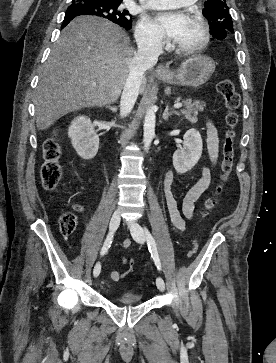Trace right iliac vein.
<instances>
[{"label":"right iliac vein","instance_id":"obj_1","mask_svg":"<svg viewBox=\"0 0 276 363\" xmlns=\"http://www.w3.org/2000/svg\"><path fill=\"white\" fill-rule=\"evenodd\" d=\"M119 224H120V212L116 211V212H114V214L112 215L111 220H110V225H109L110 232L111 233L115 232L117 230V228L119 227ZM100 266L101 265L99 262L95 265L94 270H93L94 277L98 276L96 271L99 269Z\"/></svg>","mask_w":276,"mask_h":363}]
</instances>
